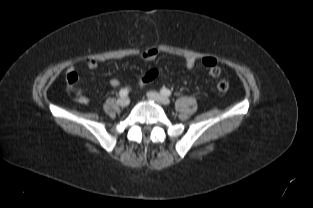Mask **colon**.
Instances as JSON below:
<instances>
[{
  "label": "colon",
  "instance_id": "5ec220e1",
  "mask_svg": "<svg viewBox=\"0 0 313 208\" xmlns=\"http://www.w3.org/2000/svg\"><path fill=\"white\" fill-rule=\"evenodd\" d=\"M209 74L213 77L219 76L220 68L219 66H213L209 69ZM158 77V71L156 69H150L139 77V80L143 84H148L154 81ZM70 85L74 86L76 84V78L71 77ZM229 88V82L227 79H221L216 84V89L219 92H226Z\"/></svg>",
  "mask_w": 313,
  "mask_h": 208
}]
</instances>
